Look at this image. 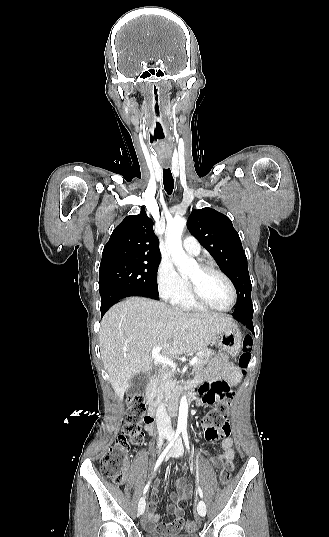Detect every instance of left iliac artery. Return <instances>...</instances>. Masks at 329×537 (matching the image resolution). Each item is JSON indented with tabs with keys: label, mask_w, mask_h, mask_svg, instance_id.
<instances>
[{
	"label": "left iliac artery",
	"mask_w": 329,
	"mask_h": 537,
	"mask_svg": "<svg viewBox=\"0 0 329 537\" xmlns=\"http://www.w3.org/2000/svg\"><path fill=\"white\" fill-rule=\"evenodd\" d=\"M182 436H183V440H184V443H185V446L186 448L188 449V451L190 452V447H189V439H188V433H187V429L186 428H183L182 429ZM197 492L199 494V496L201 498H203V492H202V489L198 483V480H197Z\"/></svg>",
	"instance_id": "1"
}]
</instances>
